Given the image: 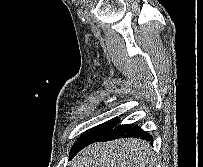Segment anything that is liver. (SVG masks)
I'll return each mask as SVG.
<instances>
[{"label": "liver", "instance_id": "liver-1", "mask_svg": "<svg viewBox=\"0 0 203 167\" xmlns=\"http://www.w3.org/2000/svg\"><path fill=\"white\" fill-rule=\"evenodd\" d=\"M153 152L148 142L119 139L86 147L70 162V167H150Z\"/></svg>", "mask_w": 203, "mask_h": 167}]
</instances>
